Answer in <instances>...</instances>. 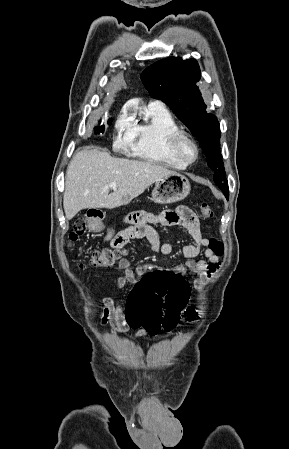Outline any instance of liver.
Wrapping results in <instances>:
<instances>
[{
	"label": "liver",
	"mask_w": 289,
	"mask_h": 449,
	"mask_svg": "<svg viewBox=\"0 0 289 449\" xmlns=\"http://www.w3.org/2000/svg\"><path fill=\"white\" fill-rule=\"evenodd\" d=\"M177 174L148 161L112 157L98 149L75 153L66 171L63 206L67 220L86 208L113 209L129 204L159 179ZM117 183L109 193V184Z\"/></svg>",
	"instance_id": "6515ba94"
}]
</instances>
